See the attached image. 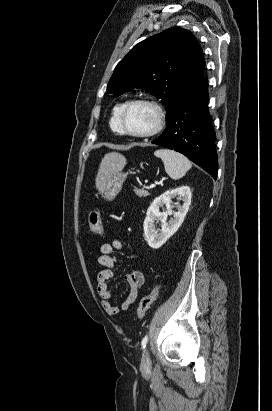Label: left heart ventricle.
Listing matches in <instances>:
<instances>
[{
  "mask_svg": "<svg viewBox=\"0 0 272 411\" xmlns=\"http://www.w3.org/2000/svg\"><path fill=\"white\" fill-rule=\"evenodd\" d=\"M155 122L153 110L145 105H133L125 113L124 125L131 132L149 130Z\"/></svg>",
  "mask_w": 272,
  "mask_h": 411,
  "instance_id": "obj_1",
  "label": "left heart ventricle"
}]
</instances>
